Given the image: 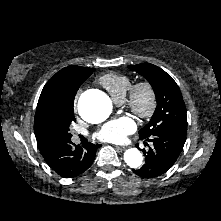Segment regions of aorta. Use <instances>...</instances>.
I'll use <instances>...</instances> for the list:
<instances>
[{
	"instance_id": "762f6f07",
	"label": "aorta",
	"mask_w": 221,
	"mask_h": 221,
	"mask_svg": "<svg viewBox=\"0 0 221 221\" xmlns=\"http://www.w3.org/2000/svg\"><path fill=\"white\" fill-rule=\"evenodd\" d=\"M78 111L81 117L90 123H99L108 118L112 111L109 97L103 93L81 96L78 101ZM124 160L131 168L142 164V154L137 148H130L124 153Z\"/></svg>"
}]
</instances>
